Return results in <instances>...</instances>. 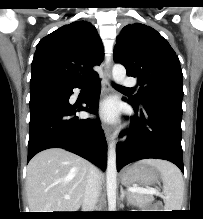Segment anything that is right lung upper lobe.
Masks as SVG:
<instances>
[{
	"mask_svg": "<svg viewBox=\"0 0 203 219\" xmlns=\"http://www.w3.org/2000/svg\"><path fill=\"white\" fill-rule=\"evenodd\" d=\"M103 59V45L95 27L86 21H75L39 41L30 82H83L88 77L97 76L92 67L100 65Z\"/></svg>",
	"mask_w": 203,
	"mask_h": 219,
	"instance_id": "cb5924a9",
	"label": "right lung upper lobe"
}]
</instances>
